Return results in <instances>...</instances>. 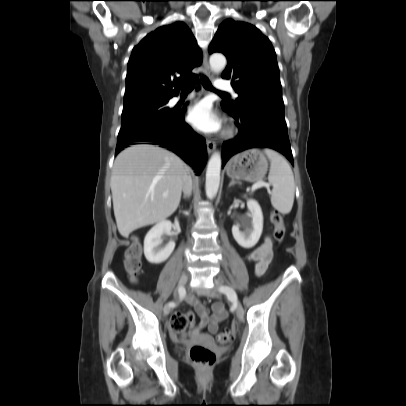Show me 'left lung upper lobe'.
<instances>
[{
    "instance_id": "1",
    "label": "left lung upper lobe",
    "mask_w": 406,
    "mask_h": 406,
    "mask_svg": "<svg viewBox=\"0 0 406 406\" xmlns=\"http://www.w3.org/2000/svg\"><path fill=\"white\" fill-rule=\"evenodd\" d=\"M222 52L228 61L222 77L231 79L239 95L236 101L222 102L235 115L261 107L284 113L282 88L276 54L270 40L255 26L225 20L218 28L209 53Z\"/></svg>"
}]
</instances>
